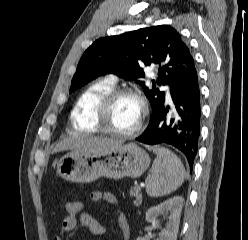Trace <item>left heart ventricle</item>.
Here are the masks:
<instances>
[{"label": "left heart ventricle", "mask_w": 248, "mask_h": 240, "mask_svg": "<svg viewBox=\"0 0 248 240\" xmlns=\"http://www.w3.org/2000/svg\"><path fill=\"white\" fill-rule=\"evenodd\" d=\"M141 106L139 101L132 96H123L116 100L110 110L106 124L113 130L129 132L139 122Z\"/></svg>", "instance_id": "b2bd125f"}]
</instances>
